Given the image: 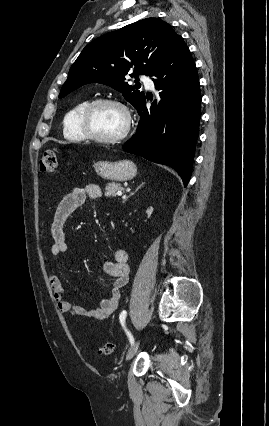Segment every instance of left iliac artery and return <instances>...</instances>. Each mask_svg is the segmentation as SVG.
I'll return each instance as SVG.
<instances>
[{
    "label": "left iliac artery",
    "instance_id": "obj_1",
    "mask_svg": "<svg viewBox=\"0 0 269 426\" xmlns=\"http://www.w3.org/2000/svg\"><path fill=\"white\" fill-rule=\"evenodd\" d=\"M126 315H127V312L125 310H123L120 313L119 320H120L121 325L125 329V332H126L128 338H129V341H130V343L132 345L134 343V338H133L132 334L125 328V318H126Z\"/></svg>",
    "mask_w": 269,
    "mask_h": 426
}]
</instances>
